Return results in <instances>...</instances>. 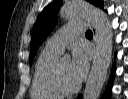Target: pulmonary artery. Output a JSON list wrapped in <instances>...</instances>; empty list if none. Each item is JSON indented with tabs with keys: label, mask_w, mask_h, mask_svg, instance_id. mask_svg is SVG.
Returning a JSON list of instances; mask_svg holds the SVG:
<instances>
[{
	"label": "pulmonary artery",
	"mask_w": 128,
	"mask_h": 99,
	"mask_svg": "<svg viewBox=\"0 0 128 99\" xmlns=\"http://www.w3.org/2000/svg\"><path fill=\"white\" fill-rule=\"evenodd\" d=\"M85 28L86 23L84 21L66 24L47 41L46 47L62 53L65 46L72 42Z\"/></svg>",
	"instance_id": "e3ab8cb5"
}]
</instances>
